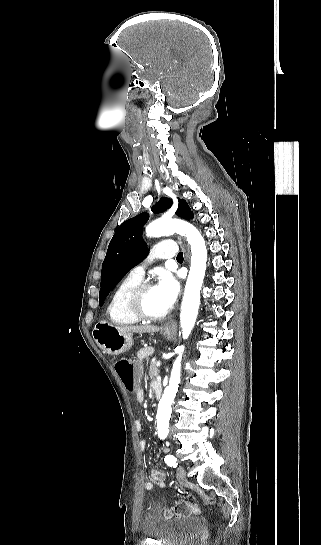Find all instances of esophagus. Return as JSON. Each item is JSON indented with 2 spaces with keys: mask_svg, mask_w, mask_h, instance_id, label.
<instances>
[{
  "mask_svg": "<svg viewBox=\"0 0 321 545\" xmlns=\"http://www.w3.org/2000/svg\"><path fill=\"white\" fill-rule=\"evenodd\" d=\"M177 239H178V242L180 244L183 243L184 253H185V260L188 261L189 260V247L187 245V242H186L185 238L182 239L180 236H178ZM173 327H174V324H172V323L166 325L167 329H172Z\"/></svg>",
  "mask_w": 321,
  "mask_h": 545,
  "instance_id": "1",
  "label": "esophagus"
}]
</instances>
